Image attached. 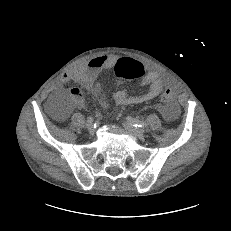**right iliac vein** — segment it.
<instances>
[{
  "mask_svg": "<svg viewBox=\"0 0 231 231\" xmlns=\"http://www.w3.org/2000/svg\"><path fill=\"white\" fill-rule=\"evenodd\" d=\"M86 128H87V130L90 131V132H93V131H94V126H93L92 122H87V123H86Z\"/></svg>",
  "mask_w": 231,
  "mask_h": 231,
  "instance_id": "right-iliac-vein-1",
  "label": "right iliac vein"
}]
</instances>
